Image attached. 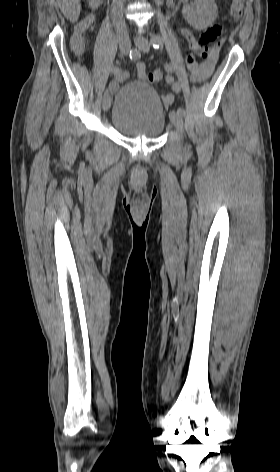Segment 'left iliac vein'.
I'll use <instances>...</instances> for the list:
<instances>
[{
	"label": "left iliac vein",
	"mask_w": 280,
	"mask_h": 472,
	"mask_svg": "<svg viewBox=\"0 0 280 472\" xmlns=\"http://www.w3.org/2000/svg\"><path fill=\"white\" fill-rule=\"evenodd\" d=\"M134 42H135V45L141 51H143L144 53L149 52L150 43L146 38L139 36V37H136L134 39ZM170 120L179 132L183 131V118H182L181 114H179L178 112H175V111H171L170 112Z\"/></svg>",
	"instance_id": "obj_1"
}]
</instances>
